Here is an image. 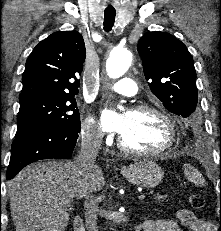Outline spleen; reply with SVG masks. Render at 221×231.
Returning <instances> with one entry per match:
<instances>
[{
  "label": "spleen",
  "instance_id": "3e777b00",
  "mask_svg": "<svg viewBox=\"0 0 221 231\" xmlns=\"http://www.w3.org/2000/svg\"><path fill=\"white\" fill-rule=\"evenodd\" d=\"M184 174L185 177L190 181L197 185H204V179L201 177V174L198 172L197 169H195L190 164L184 165Z\"/></svg>",
  "mask_w": 221,
  "mask_h": 231
}]
</instances>
